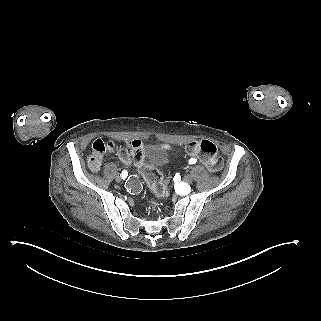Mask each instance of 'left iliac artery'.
Wrapping results in <instances>:
<instances>
[{"label":"left iliac artery","mask_w":321,"mask_h":321,"mask_svg":"<svg viewBox=\"0 0 321 321\" xmlns=\"http://www.w3.org/2000/svg\"><path fill=\"white\" fill-rule=\"evenodd\" d=\"M195 163H196V160L194 158L189 160V164H195Z\"/></svg>","instance_id":"44dca946"}]
</instances>
